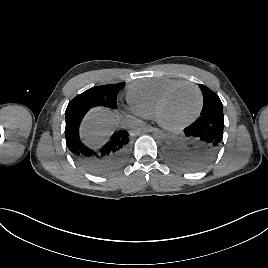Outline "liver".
<instances>
[{"label": "liver", "instance_id": "1", "mask_svg": "<svg viewBox=\"0 0 268 268\" xmlns=\"http://www.w3.org/2000/svg\"><path fill=\"white\" fill-rule=\"evenodd\" d=\"M119 117L105 112L102 108H94L85 118L83 134L88 140L95 142L106 135L118 124Z\"/></svg>", "mask_w": 268, "mask_h": 268}]
</instances>
